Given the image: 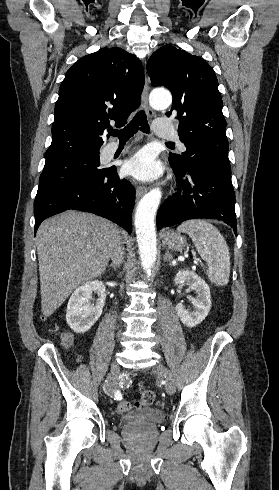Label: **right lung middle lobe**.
<instances>
[{
  "mask_svg": "<svg viewBox=\"0 0 279 490\" xmlns=\"http://www.w3.org/2000/svg\"><path fill=\"white\" fill-rule=\"evenodd\" d=\"M99 156L72 158L45 164L39 178V186L55 184L72 179L91 178L103 175L108 169H98Z\"/></svg>",
  "mask_w": 279,
  "mask_h": 490,
  "instance_id": "1",
  "label": "right lung middle lobe"
}]
</instances>
